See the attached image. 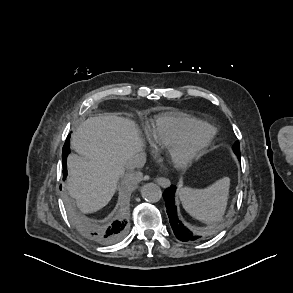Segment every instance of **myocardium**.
<instances>
[{
    "label": "myocardium",
    "mask_w": 293,
    "mask_h": 293,
    "mask_svg": "<svg viewBox=\"0 0 293 293\" xmlns=\"http://www.w3.org/2000/svg\"><path fill=\"white\" fill-rule=\"evenodd\" d=\"M205 130V134L196 138V133ZM216 129L205 122L192 125L183 138L175 145L165 149L167 161L177 168H185L195 161L213 142Z\"/></svg>",
    "instance_id": "myocardium-1"
}]
</instances>
